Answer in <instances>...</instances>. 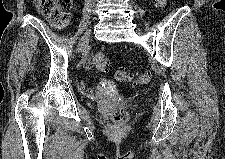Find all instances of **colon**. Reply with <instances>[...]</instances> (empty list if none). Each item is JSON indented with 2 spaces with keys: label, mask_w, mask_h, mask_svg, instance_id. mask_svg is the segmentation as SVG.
<instances>
[{
  "label": "colon",
  "mask_w": 225,
  "mask_h": 159,
  "mask_svg": "<svg viewBox=\"0 0 225 159\" xmlns=\"http://www.w3.org/2000/svg\"><path fill=\"white\" fill-rule=\"evenodd\" d=\"M157 5L164 9L166 0H156ZM72 6V0H37L39 11L45 15L53 26L61 29L68 23V14ZM94 63L96 68L101 72H107L110 68V62L107 55L99 50L94 55ZM115 78L118 81H129L135 85H145L150 82L151 74L142 72L133 75L126 68H119L115 72ZM110 118L114 123H125L129 120L127 110L122 106H114L110 111Z\"/></svg>",
  "instance_id": "colon-1"
}]
</instances>
